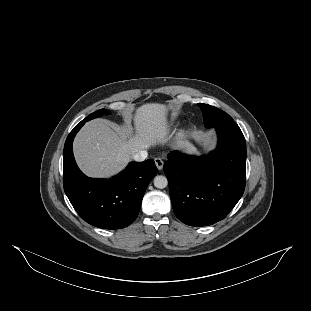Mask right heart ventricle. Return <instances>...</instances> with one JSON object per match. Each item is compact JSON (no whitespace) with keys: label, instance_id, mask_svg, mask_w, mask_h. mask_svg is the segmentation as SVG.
<instances>
[{"label":"right heart ventricle","instance_id":"1","mask_svg":"<svg viewBox=\"0 0 311 311\" xmlns=\"http://www.w3.org/2000/svg\"><path fill=\"white\" fill-rule=\"evenodd\" d=\"M174 125V120H169L167 123V129L170 130Z\"/></svg>","mask_w":311,"mask_h":311}]
</instances>
